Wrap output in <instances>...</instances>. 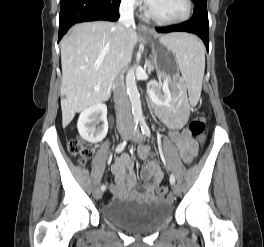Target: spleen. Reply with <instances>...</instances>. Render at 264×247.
<instances>
[{
    "mask_svg": "<svg viewBox=\"0 0 264 247\" xmlns=\"http://www.w3.org/2000/svg\"><path fill=\"white\" fill-rule=\"evenodd\" d=\"M169 49L176 57L183 81L194 102H197L205 71V50L199 39L188 33H177L168 41Z\"/></svg>",
    "mask_w": 264,
    "mask_h": 247,
    "instance_id": "1",
    "label": "spleen"
}]
</instances>
